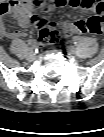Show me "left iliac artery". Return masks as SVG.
<instances>
[{
	"instance_id": "left-iliac-artery-1",
	"label": "left iliac artery",
	"mask_w": 104,
	"mask_h": 137,
	"mask_svg": "<svg viewBox=\"0 0 104 137\" xmlns=\"http://www.w3.org/2000/svg\"><path fill=\"white\" fill-rule=\"evenodd\" d=\"M73 43L75 44V45H77L78 43H79V38L78 37H73Z\"/></svg>"
}]
</instances>
